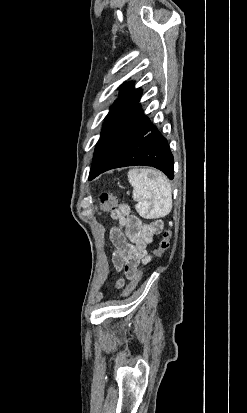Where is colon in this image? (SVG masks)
Wrapping results in <instances>:
<instances>
[{
    "label": "colon",
    "instance_id": "5ec220e1",
    "mask_svg": "<svg viewBox=\"0 0 247 413\" xmlns=\"http://www.w3.org/2000/svg\"><path fill=\"white\" fill-rule=\"evenodd\" d=\"M100 206H101V211L102 212H109V211H114L117 208L118 205V198L116 196H113L109 193H102L100 195ZM170 239H171V231L170 230H165L162 234V238L160 243L158 244L157 247H155L151 254L147 256L146 260L150 261L154 257L161 255L162 253L166 252L170 248ZM112 240V239H111ZM141 270L143 269L142 267L140 268ZM138 269V272H136L135 277H131V281L129 284L125 287L124 293H122L123 297H128L131 292L135 289L140 276H141V271Z\"/></svg>",
    "mask_w": 247,
    "mask_h": 413
}]
</instances>
